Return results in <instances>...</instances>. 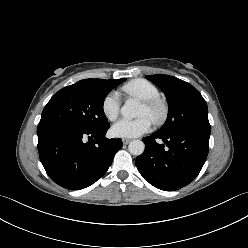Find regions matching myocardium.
I'll return each mask as SVG.
<instances>
[{
    "label": "myocardium",
    "mask_w": 248,
    "mask_h": 248,
    "mask_svg": "<svg viewBox=\"0 0 248 248\" xmlns=\"http://www.w3.org/2000/svg\"><path fill=\"white\" fill-rule=\"evenodd\" d=\"M143 105L148 110L149 118L155 123H162L167 115V106L161 98L143 100Z\"/></svg>",
    "instance_id": "f54148a6"
}]
</instances>
